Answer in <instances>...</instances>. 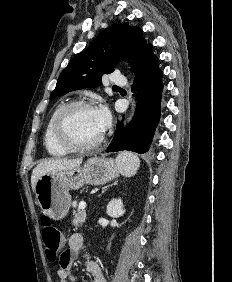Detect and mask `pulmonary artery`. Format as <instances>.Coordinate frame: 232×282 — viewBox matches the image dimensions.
Wrapping results in <instances>:
<instances>
[{"label":"pulmonary artery","mask_w":232,"mask_h":282,"mask_svg":"<svg viewBox=\"0 0 232 282\" xmlns=\"http://www.w3.org/2000/svg\"><path fill=\"white\" fill-rule=\"evenodd\" d=\"M112 83L115 85H125L127 80L123 75L115 73L112 77Z\"/></svg>","instance_id":"pulmonary-artery-1"}]
</instances>
